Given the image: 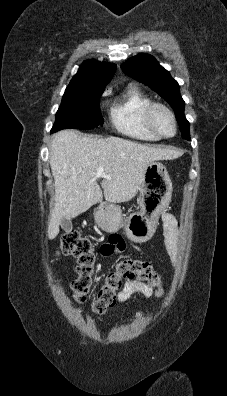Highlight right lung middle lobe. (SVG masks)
<instances>
[{"label":"right lung middle lobe","mask_w":227,"mask_h":396,"mask_svg":"<svg viewBox=\"0 0 227 396\" xmlns=\"http://www.w3.org/2000/svg\"><path fill=\"white\" fill-rule=\"evenodd\" d=\"M103 90L96 86L69 85L62 97L51 132L65 128L88 130L103 125L99 108Z\"/></svg>","instance_id":"dd1d6c3e"}]
</instances>
